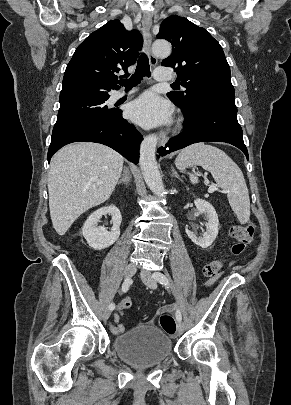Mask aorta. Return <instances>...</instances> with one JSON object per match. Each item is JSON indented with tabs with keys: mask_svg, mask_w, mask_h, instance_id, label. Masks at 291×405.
<instances>
[{
	"mask_svg": "<svg viewBox=\"0 0 291 405\" xmlns=\"http://www.w3.org/2000/svg\"><path fill=\"white\" fill-rule=\"evenodd\" d=\"M153 53L159 57L171 54V45L166 40H156L152 45ZM157 136L151 134L144 138L140 146V160L143 178L149 189L156 195L163 197L165 189L156 162Z\"/></svg>",
	"mask_w": 291,
	"mask_h": 405,
	"instance_id": "762f6f07",
	"label": "aorta"
}]
</instances>
